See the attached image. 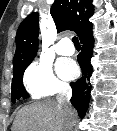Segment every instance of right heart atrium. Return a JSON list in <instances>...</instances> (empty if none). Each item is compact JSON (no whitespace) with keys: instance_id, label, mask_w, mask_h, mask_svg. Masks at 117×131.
Instances as JSON below:
<instances>
[{"instance_id":"right-heart-atrium-1","label":"right heart atrium","mask_w":117,"mask_h":131,"mask_svg":"<svg viewBox=\"0 0 117 131\" xmlns=\"http://www.w3.org/2000/svg\"><path fill=\"white\" fill-rule=\"evenodd\" d=\"M24 85L34 98H42L59 93L67 88L53 72L50 64L35 61L26 69L23 77Z\"/></svg>"}]
</instances>
